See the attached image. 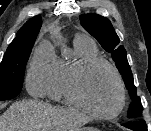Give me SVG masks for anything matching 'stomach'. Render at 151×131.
Masks as SVG:
<instances>
[{"label": "stomach", "instance_id": "obj_1", "mask_svg": "<svg viewBox=\"0 0 151 131\" xmlns=\"http://www.w3.org/2000/svg\"><path fill=\"white\" fill-rule=\"evenodd\" d=\"M79 131H98V130L92 127H85V128L80 129Z\"/></svg>", "mask_w": 151, "mask_h": 131}]
</instances>
